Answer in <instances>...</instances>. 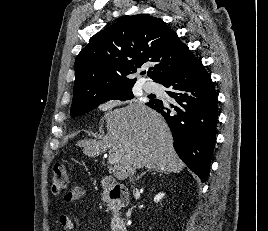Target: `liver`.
<instances>
[{"mask_svg": "<svg viewBox=\"0 0 268 231\" xmlns=\"http://www.w3.org/2000/svg\"><path fill=\"white\" fill-rule=\"evenodd\" d=\"M107 135L102 140H81L77 143L90 157L109 150L118 156L113 174L127 179L139 168L179 173L184 163L173 148L172 134L163 117L152 108L131 101L127 106L105 114Z\"/></svg>", "mask_w": 268, "mask_h": 231, "instance_id": "liver-1", "label": "liver"}]
</instances>
